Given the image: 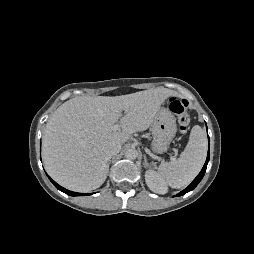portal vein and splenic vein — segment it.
Returning a JSON list of instances; mask_svg holds the SVG:
<instances>
[{
    "label": "portal vein and splenic vein",
    "instance_id": "18ae733b",
    "mask_svg": "<svg viewBox=\"0 0 254 254\" xmlns=\"http://www.w3.org/2000/svg\"><path fill=\"white\" fill-rule=\"evenodd\" d=\"M120 126L118 124H115L114 126H112V130L116 131L119 130ZM175 158H172V160H174Z\"/></svg>",
    "mask_w": 254,
    "mask_h": 254
}]
</instances>
